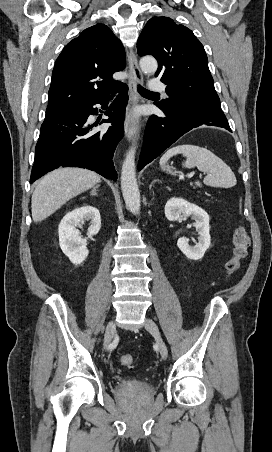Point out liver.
Listing matches in <instances>:
<instances>
[{
	"label": "liver",
	"mask_w": 272,
	"mask_h": 452,
	"mask_svg": "<svg viewBox=\"0 0 272 452\" xmlns=\"http://www.w3.org/2000/svg\"><path fill=\"white\" fill-rule=\"evenodd\" d=\"M100 181L98 174L83 168H59L48 173L38 182L32 195L33 221H43L70 199Z\"/></svg>",
	"instance_id": "6515ba94"
}]
</instances>
